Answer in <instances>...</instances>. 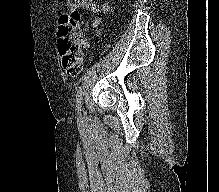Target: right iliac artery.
<instances>
[{"label": "right iliac artery", "instance_id": "1", "mask_svg": "<svg viewBox=\"0 0 219 192\" xmlns=\"http://www.w3.org/2000/svg\"><path fill=\"white\" fill-rule=\"evenodd\" d=\"M76 110L77 116L81 120L82 119V97H81V87L77 89V96H76Z\"/></svg>", "mask_w": 219, "mask_h": 192}]
</instances>
